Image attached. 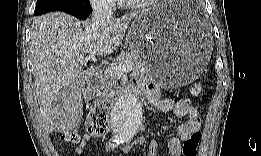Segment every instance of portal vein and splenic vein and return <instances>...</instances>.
Segmentation results:
<instances>
[{"label": "portal vein and splenic vein", "mask_w": 261, "mask_h": 156, "mask_svg": "<svg viewBox=\"0 0 261 156\" xmlns=\"http://www.w3.org/2000/svg\"><path fill=\"white\" fill-rule=\"evenodd\" d=\"M89 57L92 58V56H89ZM85 61H86V59L84 57L79 58L80 63H83ZM132 69H133L132 65H128V64L127 65H119V66L114 67V72L117 76H121L126 72L132 71Z\"/></svg>", "instance_id": "obj_1"}]
</instances>
